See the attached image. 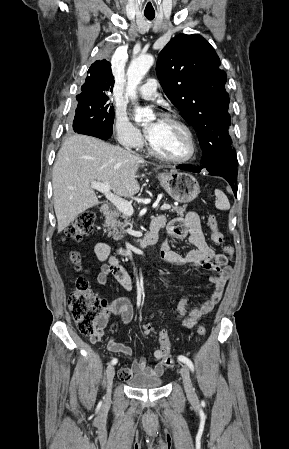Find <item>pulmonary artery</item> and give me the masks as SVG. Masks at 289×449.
I'll return each instance as SVG.
<instances>
[{
    "mask_svg": "<svg viewBox=\"0 0 289 449\" xmlns=\"http://www.w3.org/2000/svg\"><path fill=\"white\" fill-rule=\"evenodd\" d=\"M158 81L150 78L138 88L139 95L146 100H153L157 96Z\"/></svg>",
    "mask_w": 289,
    "mask_h": 449,
    "instance_id": "obj_1",
    "label": "pulmonary artery"
}]
</instances>
